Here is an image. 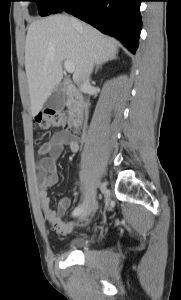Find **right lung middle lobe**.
Wrapping results in <instances>:
<instances>
[{
  "mask_svg": "<svg viewBox=\"0 0 181 300\" xmlns=\"http://www.w3.org/2000/svg\"><path fill=\"white\" fill-rule=\"evenodd\" d=\"M38 4L39 14L47 16L54 14L65 2V0H29Z\"/></svg>",
  "mask_w": 181,
  "mask_h": 300,
  "instance_id": "dd1d6c3e",
  "label": "right lung middle lobe"
}]
</instances>
